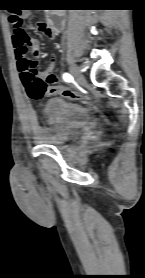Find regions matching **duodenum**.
<instances>
[{
  "label": "duodenum",
  "mask_w": 145,
  "mask_h": 278,
  "mask_svg": "<svg viewBox=\"0 0 145 278\" xmlns=\"http://www.w3.org/2000/svg\"><path fill=\"white\" fill-rule=\"evenodd\" d=\"M64 17L58 13L50 14L45 18V25L54 33H59L64 26Z\"/></svg>",
  "instance_id": "obj_1"
}]
</instances>
